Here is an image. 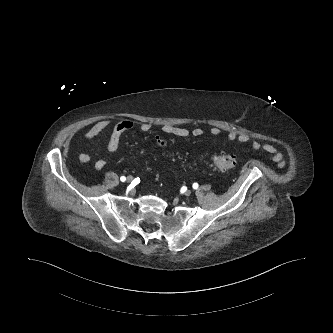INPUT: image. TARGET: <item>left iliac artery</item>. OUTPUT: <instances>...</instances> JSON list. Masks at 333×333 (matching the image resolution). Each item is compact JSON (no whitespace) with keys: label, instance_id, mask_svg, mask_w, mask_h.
I'll return each mask as SVG.
<instances>
[{"label":"left iliac artery","instance_id":"1","mask_svg":"<svg viewBox=\"0 0 333 333\" xmlns=\"http://www.w3.org/2000/svg\"><path fill=\"white\" fill-rule=\"evenodd\" d=\"M198 186H199L198 183H194V184L192 185L193 189H197Z\"/></svg>","mask_w":333,"mask_h":333}]
</instances>
